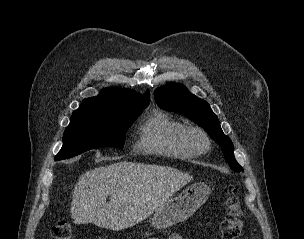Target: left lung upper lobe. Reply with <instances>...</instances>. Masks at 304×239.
I'll list each match as a JSON object with an SVG mask.
<instances>
[{"label": "left lung upper lobe", "instance_id": "obj_1", "mask_svg": "<svg viewBox=\"0 0 304 239\" xmlns=\"http://www.w3.org/2000/svg\"><path fill=\"white\" fill-rule=\"evenodd\" d=\"M155 101L159 107L184 115L204 128L223 150L226 161L232 170L240 172L243 168L234 158V147L219 124L217 116L209 104L191 94L182 84L172 83L155 90Z\"/></svg>", "mask_w": 304, "mask_h": 239}]
</instances>
